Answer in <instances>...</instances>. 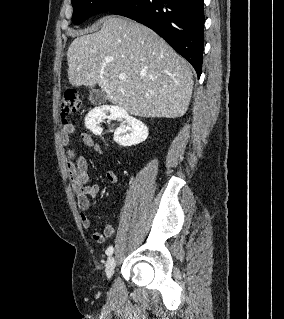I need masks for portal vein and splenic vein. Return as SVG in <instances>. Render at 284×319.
Wrapping results in <instances>:
<instances>
[{
	"label": "portal vein and splenic vein",
	"mask_w": 284,
	"mask_h": 319,
	"mask_svg": "<svg viewBox=\"0 0 284 319\" xmlns=\"http://www.w3.org/2000/svg\"><path fill=\"white\" fill-rule=\"evenodd\" d=\"M119 79H120V80H124V79H125V75H124V74H120V75H119Z\"/></svg>",
	"instance_id": "portal-vein-and-splenic-vein-1"
}]
</instances>
